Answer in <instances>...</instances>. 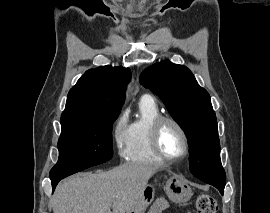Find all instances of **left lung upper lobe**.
Returning <instances> with one entry per match:
<instances>
[{
    "label": "left lung upper lobe",
    "instance_id": "left-lung-upper-lobe-1",
    "mask_svg": "<svg viewBox=\"0 0 270 213\" xmlns=\"http://www.w3.org/2000/svg\"><path fill=\"white\" fill-rule=\"evenodd\" d=\"M140 83L160 97L188 134L189 163L196 166L197 177L224 189L226 176L220 160L217 121L208 92L198 85L187 67L170 61L145 69Z\"/></svg>",
    "mask_w": 270,
    "mask_h": 213
}]
</instances>
